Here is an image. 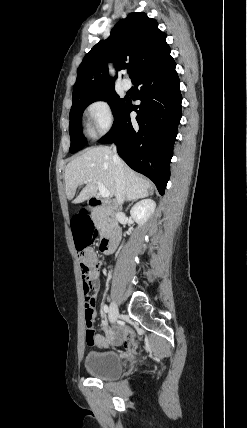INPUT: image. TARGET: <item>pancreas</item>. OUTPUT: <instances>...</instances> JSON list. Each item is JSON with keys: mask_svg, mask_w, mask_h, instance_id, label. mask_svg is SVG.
I'll return each mask as SVG.
<instances>
[{"mask_svg": "<svg viewBox=\"0 0 247 428\" xmlns=\"http://www.w3.org/2000/svg\"><path fill=\"white\" fill-rule=\"evenodd\" d=\"M97 227L102 231H106L110 225L111 219L103 212L97 211L93 217Z\"/></svg>", "mask_w": 247, "mask_h": 428, "instance_id": "cf45deb5", "label": "pancreas"}]
</instances>
